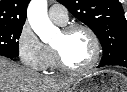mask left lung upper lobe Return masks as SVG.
<instances>
[{
    "mask_svg": "<svg viewBox=\"0 0 127 92\" xmlns=\"http://www.w3.org/2000/svg\"><path fill=\"white\" fill-rule=\"evenodd\" d=\"M97 35L107 58L127 49V20L118 0H58Z\"/></svg>",
    "mask_w": 127,
    "mask_h": 92,
    "instance_id": "obj_1",
    "label": "left lung upper lobe"
}]
</instances>
